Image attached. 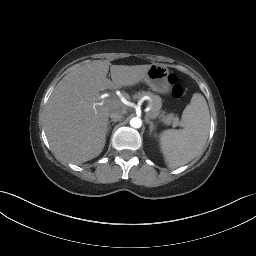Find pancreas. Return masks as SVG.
<instances>
[{
	"label": "pancreas",
	"mask_w": 256,
	"mask_h": 256,
	"mask_svg": "<svg viewBox=\"0 0 256 256\" xmlns=\"http://www.w3.org/2000/svg\"><path fill=\"white\" fill-rule=\"evenodd\" d=\"M149 96L151 101L149 102L151 106V110L147 113V116L155 119L159 118L165 125H172V127H176L180 124L179 117L174 113L166 114L165 111L161 110L162 107V99L158 95H154L151 92H139L134 96V99H140L143 96Z\"/></svg>",
	"instance_id": "1"
}]
</instances>
